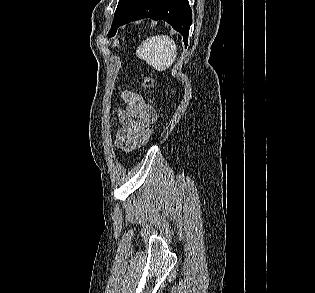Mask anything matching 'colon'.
<instances>
[{
  "instance_id": "5ec220e1",
  "label": "colon",
  "mask_w": 315,
  "mask_h": 293,
  "mask_svg": "<svg viewBox=\"0 0 315 293\" xmlns=\"http://www.w3.org/2000/svg\"><path fill=\"white\" fill-rule=\"evenodd\" d=\"M119 83H120L121 85H124V84L126 83V80H125L124 78H121V79L119 80ZM153 85H154L153 78H152L151 76H149V75L145 76V77H144V80H143V88L148 91V90L152 89ZM119 91H120V92H123V91H124V92H127L128 90H127V89H124V90H123V89H120ZM152 123H153V125H156L155 120H152ZM152 131H153L152 128L147 129V131L145 132V135H144L142 144H144V143L149 139V137H150L151 134H152Z\"/></svg>"
}]
</instances>
